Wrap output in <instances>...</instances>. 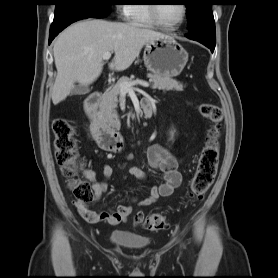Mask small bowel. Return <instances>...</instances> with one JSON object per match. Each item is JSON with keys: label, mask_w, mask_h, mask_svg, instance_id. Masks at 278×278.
I'll return each instance as SVG.
<instances>
[{"label": "small bowel", "mask_w": 278, "mask_h": 278, "mask_svg": "<svg viewBox=\"0 0 278 278\" xmlns=\"http://www.w3.org/2000/svg\"><path fill=\"white\" fill-rule=\"evenodd\" d=\"M147 156L150 165L162 174L163 183L153 185L150 188L149 195L138 201V205L140 206L151 205L161 197L172 195L182 182V175L179 171V160L162 145L154 144L150 146ZM112 172L111 166L105 164L103 166V179L101 181H97L92 172L88 173V177L92 181V189L96 201H99L106 192L108 187L107 181L112 175ZM129 174L140 180L145 179L143 170L138 166L130 167ZM74 204L80 215L90 223L105 221L111 225H118L127 221L132 211V207L129 205H118L114 210L96 212L88 209L86 205L77 202Z\"/></svg>", "instance_id": "obj_1"}]
</instances>
